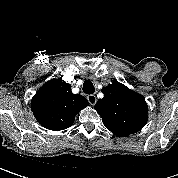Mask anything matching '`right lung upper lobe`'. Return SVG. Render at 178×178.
I'll list each match as a JSON object with an SVG mask.
<instances>
[{
    "label": "right lung upper lobe",
    "mask_w": 178,
    "mask_h": 178,
    "mask_svg": "<svg viewBox=\"0 0 178 178\" xmlns=\"http://www.w3.org/2000/svg\"><path fill=\"white\" fill-rule=\"evenodd\" d=\"M89 105L85 97L73 94L71 85L62 77L43 85L31 101V110L37 121L49 130L69 128L80 110Z\"/></svg>",
    "instance_id": "cb5924a9"
}]
</instances>
